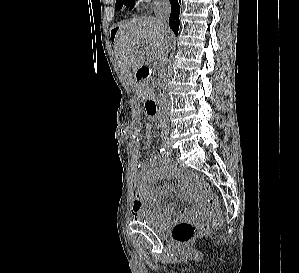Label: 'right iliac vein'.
<instances>
[{
	"label": "right iliac vein",
	"mask_w": 299,
	"mask_h": 273,
	"mask_svg": "<svg viewBox=\"0 0 299 273\" xmlns=\"http://www.w3.org/2000/svg\"><path fill=\"white\" fill-rule=\"evenodd\" d=\"M164 146H165L166 148H169V147H170V144H169L168 142H165V143H164Z\"/></svg>",
	"instance_id": "1"
}]
</instances>
